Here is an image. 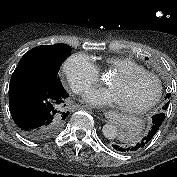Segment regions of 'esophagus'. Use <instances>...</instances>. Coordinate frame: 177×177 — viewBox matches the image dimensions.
I'll return each instance as SVG.
<instances>
[{
    "label": "esophagus",
    "mask_w": 177,
    "mask_h": 177,
    "mask_svg": "<svg viewBox=\"0 0 177 177\" xmlns=\"http://www.w3.org/2000/svg\"><path fill=\"white\" fill-rule=\"evenodd\" d=\"M109 115H110V112H107V111H104V112L102 113V116H103L104 118H107Z\"/></svg>",
    "instance_id": "1"
}]
</instances>
